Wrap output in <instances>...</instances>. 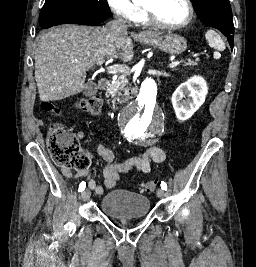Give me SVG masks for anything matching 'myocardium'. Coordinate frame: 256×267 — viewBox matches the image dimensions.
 Masks as SVG:
<instances>
[{
  "instance_id": "f54148a6",
  "label": "myocardium",
  "mask_w": 256,
  "mask_h": 267,
  "mask_svg": "<svg viewBox=\"0 0 256 267\" xmlns=\"http://www.w3.org/2000/svg\"><path fill=\"white\" fill-rule=\"evenodd\" d=\"M170 1H177V2H180L181 4H183L187 9V16H186L185 20L182 21L181 23L169 24V25L157 26V27H159L160 29L166 30V31H175V30L184 28L187 25H189L190 22L192 21L193 17H194V8H193L192 4L190 3V1L189 0H170ZM145 6L147 8V15H148L150 21L153 22L152 21V9H151L150 3H147Z\"/></svg>"
}]
</instances>
